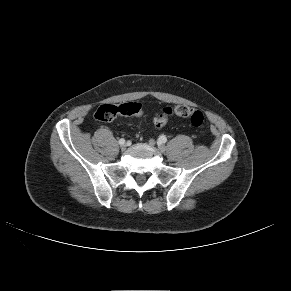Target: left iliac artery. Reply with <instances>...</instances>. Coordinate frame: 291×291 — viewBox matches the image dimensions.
<instances>
[{
    "label": "left iliac artery",
    "instance_id": "left-iliac-artery-1",
    "mask_svg": "<svg viewBox=\"0 0 291 291\" xmlns=\"http://www.w3.org/2000/svg\"><path fill=\"white\" fill-rule=\"evenodd\" d=\"M166 141H167L166 136L161 135V136L159 137V142H160V143H166Z\"/></svg>",
    "mask_w": 291,
    "mask_h": 291
}]
</instances>
